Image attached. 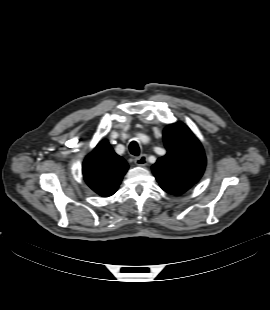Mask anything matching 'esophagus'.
<instances>
[{"label":"esophagus","mask_w":270,"mask_h":310,"mask_svg":"<svg viewBox=\"0 0 270 310\" xmlns=\"http://www.w3.org/2000/svg\"><path fill=\"white\" fill-rule=\"evenodd\" d=\"M135 163L138 166H145V165H147V156L146 155H141V156L135 158Z\"/></svg>","instance_id":"obj_1"}]
</instances>
